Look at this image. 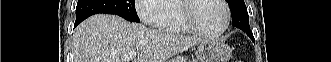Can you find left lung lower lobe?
I'll return each mask as SVG.
<instances>
[{"label":"left lung lower lobe","instance_id":"left-lung-lower-lobe-1","mask_svg":"<svg viewBox=\"0 0 331 62\" xmlns=\"http://www.w3.org/2000/svg\"><path fill=\"white\" fill-rule=\"evenodd\" d=\"M233 27H237V28H239V29H241L240 27H239V25H237V24H234L233 25ZM242 30V29H241ZM242 31H244V30H242ZM244 32H246V31H244ZM247 33V35L254 41V37H253V35L251 34V33H249V32H246Z\"/></svg>","mask_w":331,"mask_h":62}]
</instances>
